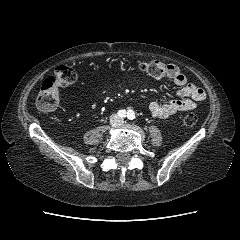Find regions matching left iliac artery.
Here are the masks:
<instances>
[{
    "instance_id": "left-iliac-artery-1",
    "label": "left iliac artery",
    "mask_w": 240,
    "mask_h": 240,
    "mask_svg": "<svg viewBox=\"0 0 240 240\" xmlns=\"http://www.w3.org/2000/svg\"><path fill=\"white\" fill-rule=\"evenodd\" d=\"M127 118H128L129 120H133V119L135 118V113H134V111L129 110L128 113H127Z\"/></svg>"
}]
</instances>
